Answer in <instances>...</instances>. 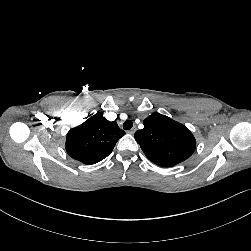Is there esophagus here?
Instances as JSON below:
<instances>
[{
	"label": "esophagus",
	"mask_w": 251,
	"mask_h": 251,
	"mask_svg": "<svg viewBox=\"0 0 251 251\" xmlns=\"http://www.w3.org/2000/svg\"><path fill=\"white\" fill-rule=\"evenodd\" d=\"M129 134L133 135L136 132V127H133L129 131H127Z\"/></svg>",
	"instance_id": "1"
}]
</instances>
